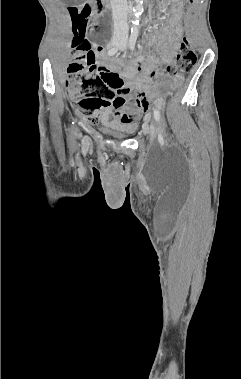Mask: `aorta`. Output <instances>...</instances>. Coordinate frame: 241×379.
Instances as JSON below:
<instances>
[{"label": "aorta", "mask_w": 241, "mask_h": 379, "mask_svg": "<svg viewBox=\"0 0 241 379\" xmlns=\"http://www.w3.org/2000/svg\"><path fill=\"white\" fill-rule=\"evenodd\" d=\"M135 8H134V21H133V30H137V25L139 23V18L143 12V0H134Z\"/></svg>", "instance_id": "aorta-1"}]
</instances>
